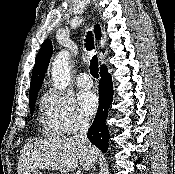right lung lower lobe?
<instances>
[{
    "instance_id": "right-lung-lower-lobe-1",
    "label": "right lung lower lobe",
    "mask_w": 175,
    "mask_h": 174,
    "mask_svg": "<svg viewBox=\"0 0 175 174\" xmlns=\"http://www.w3.org/2000/svg\"><path fill=\"white\" fill-rule=\"evenodd\" d=\"M99 82V108L91 125L87 137L102 152H107L109 143V130L106 125L108 109L113 98V84L111 75L105 66L101 67Z\"/></svg>"
}]
</instances>
